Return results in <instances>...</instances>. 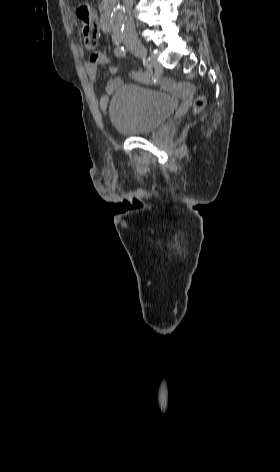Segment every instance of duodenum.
Instances as JSON below:
<instances>
[{"label":"duodenum","instance_id":"1","mask_svg":"<svg viewBox=\"0 0 280 472\" xmlns=\"http://www.w3.org/2000/svg\"><path fill=\"white\" fill-rule=\"evenodd\" d=\"M101 26L104 32H110L112 29V6L107 5L104 9Z\"/></svg>","mask_w":280,"mask_h":472}]
</instances>
